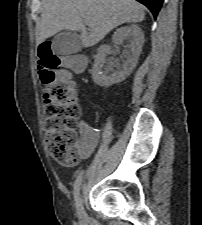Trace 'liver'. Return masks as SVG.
<instances>
[{"label":"liver","instance_id":"6515ba94","mask_svg":"<svg viewBox=\"0 0 202 225\" xmlns=\"http://www.w3.org/2000/svg\"><path fill=\"white\" fill-rule=\"evenodd\" d=\"M144 19V7L135 0H43L36 44L59 31L70 30L81 32L82 45L87 48L96 45L117 26Z\"/></svg>","mask_w":202,"mask_h":225}]
</instances>
